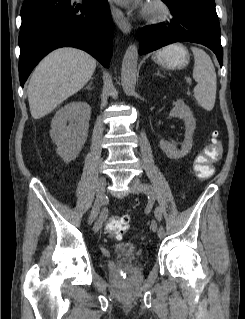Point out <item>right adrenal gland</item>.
<instances>
[{"mask_svg":"<svg viewBox=\"0 0 245 319\" xmlns=\"http://www.w3.org/2000/svg\"><path fill=\"white\" fill-rule=\"evenodd\" d=\"M92 84H93V78L91 79L90 84L87 86V89H88V90H91V89H92V88H91Z\"/></svg>","mask_w":245,"mask_h":319,"instance_id":"obj_1","label":"right adrenal gland"}]
</instances>
